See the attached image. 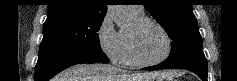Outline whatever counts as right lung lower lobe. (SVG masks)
Here are the masks:
<instances>
[{"mask_svg":"<svg viewBox=\"0 0 237 81\" xmlns=\"http://www.w3.org/2000/svg\"><path fill=\"white\" fill-rule=\"evenodd\" d=\"M102 50L41 47L35 67L34 81H48L62 70L80 63H107Z\"/></svg>","mask_w":237,"mask_h":81,"instance_id":"98d812e1","label":"right lung lower lobe"}]
</instances>
